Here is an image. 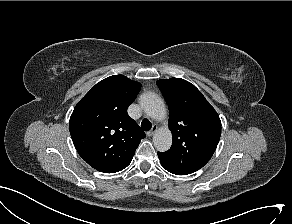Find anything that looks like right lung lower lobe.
<instances>
[{
  "instance_id": "right-lung-lower-lobe-1",
  "label": "right lung lower lobe",
  "mask_w": 292,
  "mask_h": 224,
  "mask_svg": "<svg viewBox=\"0 0 292 224\" xmlns=\"http://www.w3.org/2000/svg\"><path fill=\"white\" fill-rule=\"evenodd\" d=\"M131 160L124 162V163H121V164H118V165L108 167V168L97 169V170L100 172H104V173H115V172L121 171L122 169L126 168L131 163Z\"/></svg>"
}]
</instances>
